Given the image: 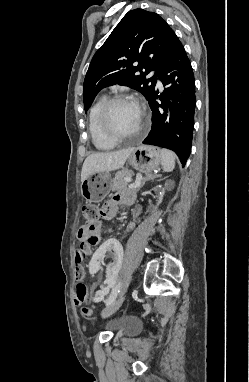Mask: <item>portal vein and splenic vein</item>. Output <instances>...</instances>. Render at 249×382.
Here are the masks:
<instances>
[{
	"mask_svg": "<svg viewBox=\"0 0 249 382\" xmlns=\"http://www.w3.org/2000/svg\"><path fill=\"white\" fill-rule=\"evenodd\" d=\"M125 180L127 181V182H131V178H125ZM139 179H137L136 181H135V183H130L129 184V187L130 188H137L138 186H139Z\"/></svg>",
	"mask_w": 249,
	"mask_h": 382,
	"instance_id": "18ae733b",
	"label": "portal vein and splenic vein"
}]
</instances>
